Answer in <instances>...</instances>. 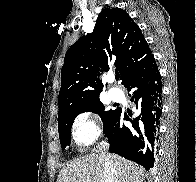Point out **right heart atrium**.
<instances>
[{"label":"right heart atrium","instance_id":"right-heart-atrium-1","mask_svg":"<svg viewBox=\"0 0 196 182\" xmlns=\"http://www.w3.org/2000/svg\"><path fill=\"white\" fill-rule=\"evenodd\" d=\"M101 134V126L97 117L84 112L76 117L72 125L73 139L79 144H91Z\"/></svg>","mask_w":196,"mask_h":182}]
</instances>
